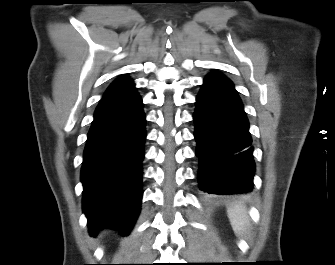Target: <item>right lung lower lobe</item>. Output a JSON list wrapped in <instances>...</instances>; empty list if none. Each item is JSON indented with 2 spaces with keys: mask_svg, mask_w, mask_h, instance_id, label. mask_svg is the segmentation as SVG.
I'll return each mask as SVG.
<instances>
[{
  "mask_svg": "<svg viewBox=\"0 0 335 265\" xmlns=\"http://www.w3.org/2000/svg\"><path fill=\"white\" fill-rule=\"evenodd\" d=\"M137 90L103 97L84 150L81 181L89 232L117 228L128 234L139 214L146 138Z\"/></svg>",
  "mask_w": 335,
  "mask_h": 265,
  "instance_id": "1",
  "label": "right lung lower lobe"
}]
</instances>
